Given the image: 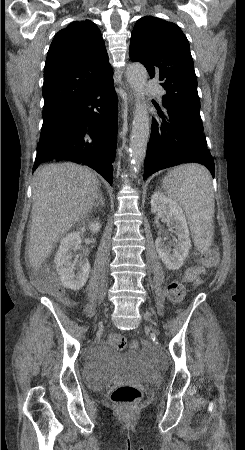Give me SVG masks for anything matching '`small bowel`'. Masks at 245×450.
I'll list each match as a JSON object with an SVG mask.
<instances>
[{
	"label": "small bowel",
	"mask_w": 245,
	"mask_h": 450,
	"mask_svg": "<svg viewBox=\"0 0 245 450\" xmlns=\"http://www.w3.org/2000/svg\"><path fill=\"white\" fill-rule=\"evenodd\" d=\"M203 272L198 269L190 268L185 276V281L198 284L201 282V275Z\"/></svg>",
	"instance_id": "1"
}]
</instances>
